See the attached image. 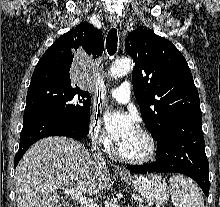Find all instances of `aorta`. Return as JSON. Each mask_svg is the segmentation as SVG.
I'll return each mask as SVG.
<instances>
[{
    "label": "aorta",
    "mask_w": 220,
    "mask_h": 207,
    "mask_svg": "<svg viewBox=\"0 0 220 207\" xmlns=\"http://www.w3.org/2000/svg\"><path fill=\"white\" fill-rule=\"evenodd\" d=\"M134 67L133 60L123 58L115 61L110 68V75L113 78H120L128 74Z\"/></svg>",
    "instance_id": "1"
}]
</instances>
